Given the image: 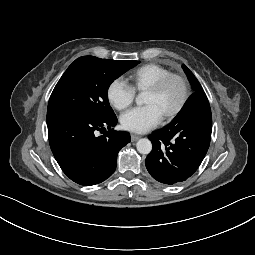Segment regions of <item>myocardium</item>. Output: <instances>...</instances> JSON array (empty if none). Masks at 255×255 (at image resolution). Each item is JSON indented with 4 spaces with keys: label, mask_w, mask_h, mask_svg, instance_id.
<instances>
[{
    "label": "myocardium",
    "mask_w": 255,
    "mask_h": 255,
    "mask_svg": "<svg viewBox=\"0 0 255 255\" xmlns=\"http://www.w3.org/2000/svg\"><path fill=\"white\" fill-rule=\"evenodd\" d=\"M172 79H177L181 83L182 96H181V99H180L179 103L177 104V106L173 110L167 112L164 115V117L166 119H170V118H173L176 115H178L181 112V110L183 109V107L185 106V104L188 100V97H189V84H188L187 79L181 74L169 73V74L163 76L162 78H160L158 81H156L152 86H150L146 90V92H153V93L159 92Z\"/></svg>",
    "instance_id": "obj_1"
}]
</instances>
